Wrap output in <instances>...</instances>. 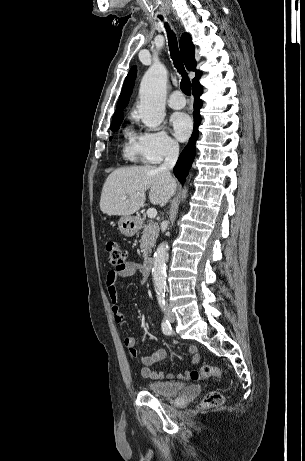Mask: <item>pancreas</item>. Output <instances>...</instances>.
Listing matches in <instances>:
<instances>
[{
    "label": "pancreas",
    "instance_id": "pancreas-1",
    "mask_svg": "<svg viewBox=\"0 0 305 461\" xmlns=\"http://www.w3.org/2000/svg\"><path fill=\"white\" fill-rule=\"evenodd\" d=\"M159 234V226L157 223L149 221L143 228L140 241L141 252L143 257H147L152 247L154 246Z\"/></svg>",
    "mask_w": 305,
    "mask_h": 461
}]
</instances>
